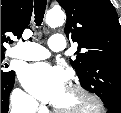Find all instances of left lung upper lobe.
<instances>
[{"instance_id":"1","label":"left lung upper lobe","mask_w":121,"mask_h":113,"mask_svg":"<svg viewBox=\"0 0 121 113\" xmlns=\"http://www.w3.org/2000/svg\"><path fill=\"white\" fill-rule=\"evenodd\" d=\"M57 1L67 14L65 33L78 44L70 63L81 85L108 110L121 112V26L114 6L110 0Z\"/></svg>"}]
</instances>
